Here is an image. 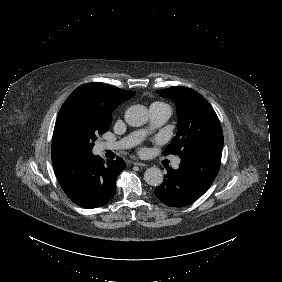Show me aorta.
Segmentation results:
<instances>
[{
  "mask_svg": "<svg viewBox=\"0 0 282 282\" xmlns=\"http://www.w3.org/2000/svg\"><path fill=\"white\" fill-rule=\"evenodd\" d=\"M125 121L134 127L145 125L149 121L148 108L141 104L129 107L125 112ZM144 180L151 186H159L163 183L164 174L157 167H151L144 173Z\"/></svg>",
  "mask_w": 282,
  "mask_h": 282,
  "instance_id": "obj_1",
  "label": "aorta"
}]
</instances>
